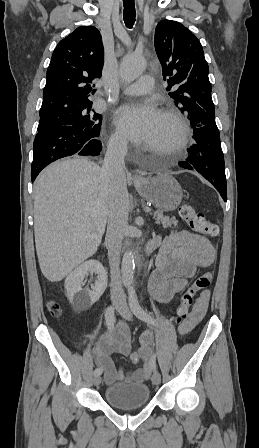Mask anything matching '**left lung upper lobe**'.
Wrapping results in <instances>:
<instances>
[{
    "instance_id": "left-lung-upper-lobe-1",
    "label": "left lung upper lobe",
    "mask_w": 259,
    "mask_h": 448,
    "mask_svg": "<svg viewBox=\"0 0 259 448\" xmlns=\"http://www.w3.org/2000/svg\"><path fill=\"white\" fill-rule=\"evenodd\" d=\"M155 50L169 96L182 105L193 128L215 123L208 64L198 38L181 23L162 20L155 30Z\"/></svg>"
}]
</instances>
